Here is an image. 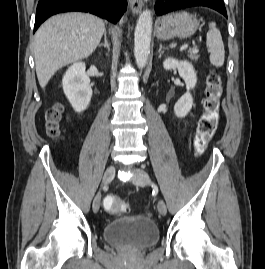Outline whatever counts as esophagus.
I'll use <instances>...</instances> for the list:
<instances>
[{"instance_id": "esophagus-1", "label": "esophagus", "mask_w": 265, "mask_h": 269, "mask_svg": "<svg viewBox=\"0 0 265 269\" xmlns=\"http://www.w3.org/2000/svg\"><path fill=\"white\" fill-rule=\"evenodd\" d=\"M129 6L132 12L137 14L141 11L143 7V1L142 0H129Z\"/></svg>"}]
</instances>
